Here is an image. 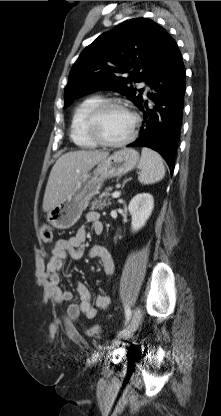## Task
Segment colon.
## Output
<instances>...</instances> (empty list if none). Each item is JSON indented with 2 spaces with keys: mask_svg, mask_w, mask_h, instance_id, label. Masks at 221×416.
I'll return each instance as SVG.
<instances>
[{
  "mask_svg": "<svg viewBox=\"0 0 221 416\" xmlns=\"http://www.w3.org/2000/svg\"><path fill=\"white\" fill-rule=\"evenodd\" d=\"M41 238L44 242L49 243L52 241L53 233L50 226H43L41 229ZM87 334L91 337H99L101 334V330L97 327H91L87 329Z\"/></svg>",
  "mask_w": 221,
  "mask_h": 416,
  "instance_id": "obj_1",
  "label": "colon"
}]
</instances>
